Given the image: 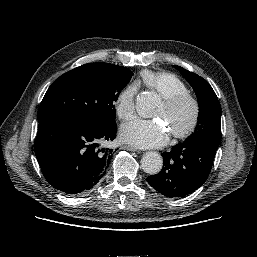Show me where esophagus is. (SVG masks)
Returning a JSON list of instances; mask_svg holds the SVG:
<instances>
[{
    "label": "esophagus",
    "mask_w": 257,
    "mask_h": 257,
    "mask_svg": "<svg viewBox=\"0 0 257 257\" xmlns=\"http://www.w3.org/2000/svg\"><path fill=\"white\" fill-rule=\"evenodd\" d=\"M124 149H126V150H128V151H133V152H135V151H137V148H135V147H133V146H124Z\"/></svg>",
    "instance_id": "34e87169"
}]
</instances>
